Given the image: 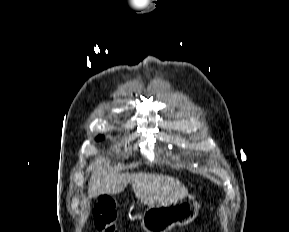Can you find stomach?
<instances>
[{"label":"stomach","instance_id":"0dacf381","mask_svg":"<svg viewBox=\"0 0 289 232\" xmlns=\"http://www.w3.org/2000/svg\"><path fill=\"white\" fill-rule=\"evenodd\" d=\"M198 210L199 204L192 195L165 205L149 206L142 215V227L146 232H168L176 225L192 222Z\"/></svg>","mask_w":289,"mask_h":232}]
</instances>
